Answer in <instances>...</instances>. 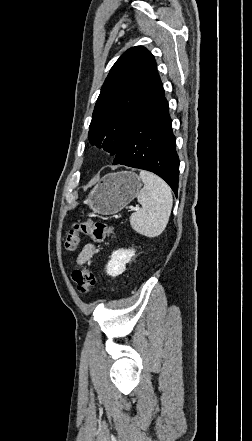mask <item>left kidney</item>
<instances>
[{
	"instance_id": "obj_1",
	"label": "left kidney",
	"mask_w": 252,
	"mask_h": 441,
	"mask_svg": "<svg viewBox=\"0 0 252 441\" xmlns=\"http://www.w3.org/2000/svg\"><path fill=\"white\" fill-rule=\"evenodd\" d=\"M135 255L133 249H119L112 253L111 260L106 265V272L109 276L116 277L125 271V266Z\"/></svg>"
}]
</instances>
